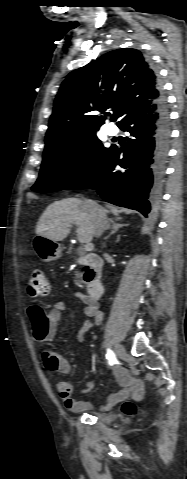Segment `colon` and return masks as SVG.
<instances>
[{
  "label": "colon",
  "mask_w": 187,
  "mask_h": 479,
  "mask_svg": "<svg viewBox=\"0 0 187 479\" xmlns=\"http://www.w3.org/2000/svg\"><path fill=\"white\" fill-rule=\"evenodd\" d=\"M27 291L29 296L31 297H40L48 293L49 283L43 270L41 269L32 270L27 282ZM122 411L128 415L134 414L135 413L134 405L130 402H126L122 407Z\"/></svg>",
  "instance_id": "1"
}]
</instances>
